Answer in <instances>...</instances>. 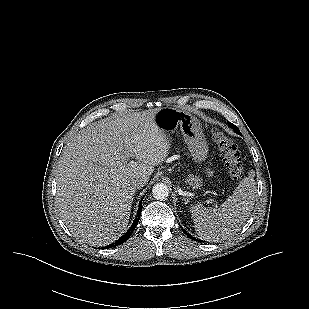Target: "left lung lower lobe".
Listing matches in <instances>:
<instances>
[{"label": "left lung lower lobe", "instance_id": "obj_1", "mask_svg": "<svg viewBox=\"0 0 309 309\" xmlns=\"http://www.w3.org/2000/svg\"><path fill=\"white\" fill-rule=\"evenodd\" d=\"M182 228V227H181ZM183 231H184V233L190 238V239H193V240H196L197 241V239H195V238H193L191 235H189L184 229H182Z\"/></svg>", "mask_w": 309, "mask_h": 309}]
</instances>
